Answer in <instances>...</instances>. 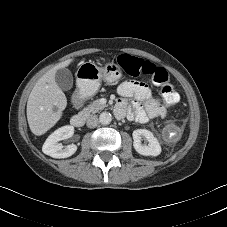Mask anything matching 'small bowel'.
Segmentation results:
<instances>
[{
    "instance_id": "1",
    "label": "small bowel",
    "mask_w": 227,
    "mask_h": 227,
    "mask_svg": "<svg viewBox=\"0 0 227 227\" xmlns=\"http://www.w3.org/2000/svg\"><path fill=\"white\" fill-rule=\"evenodd\" d=\"M120 101L116 108V115L129 119H134L140 123H146L150 119L165 118L168 116V110L160 99L153 96L147 84L127 80L118 86ZM134 98L135 101L127 104V99Z\"/></svg>"
}]
</instances>
